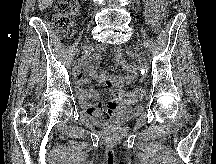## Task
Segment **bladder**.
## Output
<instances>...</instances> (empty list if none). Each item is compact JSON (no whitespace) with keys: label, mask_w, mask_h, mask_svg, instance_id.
I'll use <instances>...</instances> for the list:
<instances>
[{"label":"bladder","mask_w":216,"mask_h":164,"mask_svg":"<svg viewBox=\"0 0 216 164\" xmlns=\"http://www.w3.org/2000/svg\"><path fill=\"white\" fill-rule=\"evenodd\" d=\"M138 112H140V108L138 107L123 106L116 109L111 117L99 121L98 124L107 126L123 125Z\"/></svg>","instance_id":"1"}]
</instances>
